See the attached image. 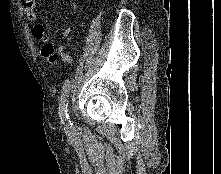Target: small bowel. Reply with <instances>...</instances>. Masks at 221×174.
<instances>
[{
    "label": "small bowel",
    "instance_id": "small-bowel-1",
    "mask_svg": "<svg viewBox=\"0 0 221 174\" xmlns=\"http://www.w3.org/2000/svg\"><path fill=\"white\" fill-rule=\"evenodd\" d=\"M22 3L26 17L30 21H36L38 19L36 0H22ZM34 33L43 41L41 53L47 62L54 63L58 58H60L64 63L71 62V56L64 51L62 46L55 47L54 44L48 40L42 25H35ZM69 33L70 29L67 27L61 32L60 37L65 38L69 35Z\"/></svg>",
    "mask_w": 221,
    "mask_h": 174
}]
</instances>
